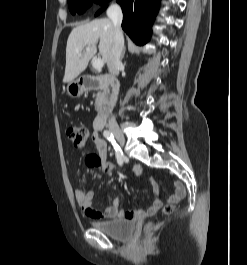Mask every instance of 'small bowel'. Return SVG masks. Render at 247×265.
I'll return each mask as SVG.
<instances>
[{
  "label": "small bowel",
  "mask_w": 247,
  "mask_h": 265,
  "mask_svg": "<svg viewBox=\"0 0 247 265\" xmlns=\"http://www.w3.org/2000/svg\"><path fill=\"white\" fill-rule=\"evenodd\" d=\"M91 140L95 144V152L90 153L85 157V163L90 168H99L105 172H113L115 167L112 163L106 160L107 144L101 138L98 129L92 135ZM140 168L136 166L134 172L138 173ZM155 192L157 189L155 188ZM75 199L81 208L82 212L94 219H111V218H126L134 221H143L146 217L155 215L161 208L162 202L156 197L152 205L147 210H122L120 208V199L114 198L111 204L105 210H99L93 205L95 192L93 190L83 191L81 189L75 190ZM186 195V189L182 184H176L174 193L169 197V201L176 203Z\"/></svg>",
  "instance_id": "small-bowel-1"
}]
</instances>
